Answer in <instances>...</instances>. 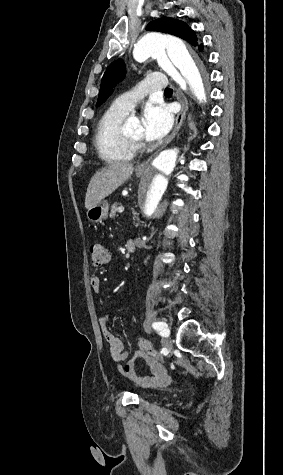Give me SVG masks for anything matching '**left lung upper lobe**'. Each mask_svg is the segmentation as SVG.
I'll return each mask as SVG.
<instances>
[{
	"label": "left lung upper lobe",
	"mask_w": 283,
	"mask_h": 475,
	"mask_svg": "<svg viewBox=\"0 0 283 475\" xmlns=\"http://www.w3.org/2000/svg\"><path fill=\"white\" fill-rule=\"evenodd\" d=\"M147 30L149 31H158L162 33H168L180 38L187 40L188 42L192 43V45H197V38L188 25L181 21V20H174L173 18L169 17H162L157 19L156 21H152L147 25ZM203 46H199V50H202ZM125 76V64L122 60H117L111 63L107 70L105 71L101 87L99 91V97L96 106L101 105L106 101V99L111 95L113 92V87L123 80Z\"/></svg>",
	"instance_id": "5c2ea615"
}]
</instances>
